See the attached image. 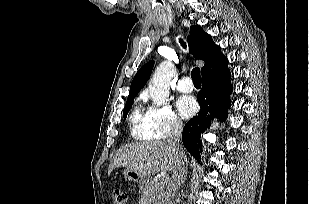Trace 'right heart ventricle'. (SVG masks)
<instances>
[{
    "instance_id": "right-heart-ventricle-1",
    "label": "right heart ventricle",
    "mask_w": 309,
    "mask_h": 204,
    "mask_svg": "<svg viewBox=\"0 0 309 204\" xmlns=\"http://www.w3.org/2000/svg\"><path fill=\"white\" fill-rule=\"evenodd\" d=\"M129 127L132 135L137 139H146V113H143L139 106H136L129 117Z\"/></svg>"
}]
</instances>
